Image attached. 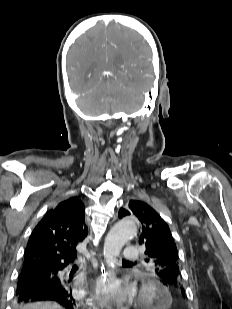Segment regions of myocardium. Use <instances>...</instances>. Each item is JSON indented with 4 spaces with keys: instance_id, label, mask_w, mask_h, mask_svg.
<instances>
[{
    "instance_id": "1",
    "label": "myocardium",
    "mask_w": 232,
    "mask_h": 309,
    "mask_svg": "<svg viewBox=\"0 0 232 309\" xmlns=\"http://www.w3.org/2000/svg\"><path fill=\"white\" fill-rule=\"evenodd\" d=\"M160 296L159 287L150 280L144 281L139 289L137 306L140 309H149Z\"/></svg>"
}]
</instances>
